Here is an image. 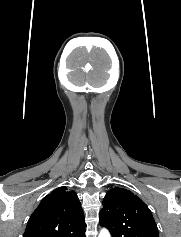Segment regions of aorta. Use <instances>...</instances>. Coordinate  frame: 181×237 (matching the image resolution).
I'll return each instance as SVG.
<instances>
[{
  "label": "aorta",
  "mask_w": 181,
  "mask_h": 237,
  "mask_svg": "<svg viewBox=\"0 0 181 237\" xmlns=\"http://www.w3.org/2000/svg\"><path fill=\"white\" fill-rule=\"evenodd\" d=\"M99 237H111V236L108 230L102 229L99 233Z\"/></svg>",
  "instance_id": "762f6f07"
}]
</instances>
